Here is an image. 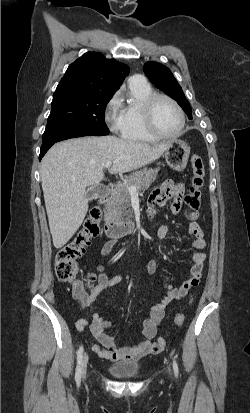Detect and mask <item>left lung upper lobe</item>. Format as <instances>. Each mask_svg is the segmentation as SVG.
I'll list each match as a JSON object with an SVG mask.
<instances>
[{"label": "left lung upper lobe", "mask_w": 250, "mask_h": 413, "mask_svg": "<svg viewBox=\"0 0 250 413\" xmlns=\"http://www.w3.org/2000/svg\"><path fill=\"white\" fill-rule=\"evenodd\" d=\"M143 70L149 80L157 88L176 100L188 115V118L192 119L191 106L172 72L167 67L157 62L145 63Z\"/></svg>", "instance_id": "obj_1"}]
</instances>
